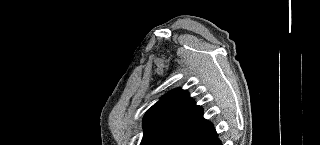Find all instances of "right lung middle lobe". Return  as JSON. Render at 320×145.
Listing matches in <instances>:
<instances>
[{"instance_id": "obj_1", "label": "right lung middle lobe", "mask_w": 320, "mask_h": 145, "mask_svg": "<svg viewBox=\"0 0 320 145\" xmlns=\"http://www.w3.org/2000/svg\"><path fill=\"white\" fill-rule=\"evenodd\" d=\"M174 137V135H159L151 137L144 142H142V145H168V143L171 141V139Z\"/></svg>"}]
</instances>
